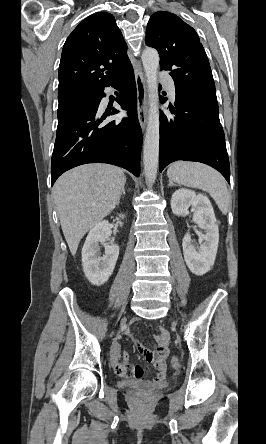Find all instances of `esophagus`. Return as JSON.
Listing matches in <instances>:
<instances>
[{"instance_id":"obj_1","label":"esophagus","mask_w":266,"mask_h":444,"mask_svg":"<svg viewBox=\"0 0 266 444\" xmlns=\"http://www.w3.org/2000/svg\"><path fill=\"white\" fill-rule=\"evenodd\" d=\"M135 81L137 88V110H138V118L141 125L142 130H145L146 121H147V91L145 79L142 73V70L139 66L135 68Z\"/></svg>"}]
</instances>
